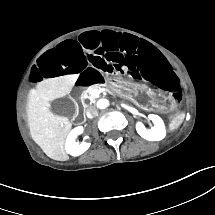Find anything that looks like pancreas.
Masks as SVG:
<instances>
[{"label":"pancreas","instance_id":"1","mask_svg":"<svg viewBox=\"0 0 215 215\" xmlns=\"http://www.w3.org/2000/svg\"><path fill=\"white\" fill-rule=\"evenodd\" d=\"M99 88H100L99 85H92L88 87L87 90L84 91V94H87L88 99L90 100L91 103L97 98V96L93 94V90H98ZM110 90L116 93L117 96H124L122 91L119 88H117L116 85L113 83L110 87Z\"/></svg>","mask_w":215,"mask_h":215}]
</instances>
